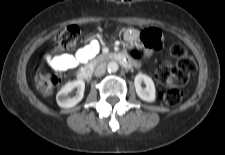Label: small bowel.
<instances>
[{"instance_id": "obj_1", "label": "small bowel", "mask_w": 225, "mask_h": 155, "mask_svg": "<svg viewBox=\"0 0 225 155\" xmlns=\"http://www.w3.org/2000/svg\"><path fill=\"white\" fill-rule=\"evenodd\" d=\"M138 32L135 30L128 31L126 33V41L129 46L133 47L138 40ZM99 42L97 40H92L89 44L77 50V52L72 54H61L58 56L46 57L47 64L57 70H67L77 66L80 63H84L87 60L94 57L99 51Z\"/></svg>"}]
</instances>
